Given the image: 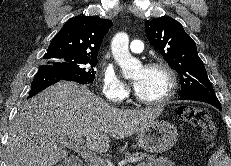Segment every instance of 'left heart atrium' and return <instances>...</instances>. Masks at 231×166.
<instances>
[{"label":"left heart atrium","mask_w":231,"mask_h":166,"mask_svg":"<svg viewBox=\"0 0 231 166\" xmlns=\"http://www.w3.org/2000/svg\"><path fill=\"white\" fill-rule=\"evenodd\" d=\"M140 85H141L140 80H134L133 81V86H134L135 91H137L140 88Z\"/></svg>","instance_id":"left-heart-atrium-1"}]
</instances>
